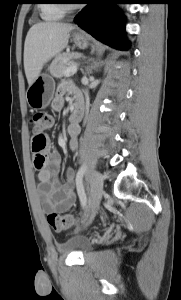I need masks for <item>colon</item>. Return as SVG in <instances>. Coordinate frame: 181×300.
Instances as JSON below:
<instances>
[{
	"instance_id": "obj_1",
	"label": "colon",
	"mask_w": 181,
	"mask_h": 300,
	"mask_svg": "<svg viewBox=\"0 0 181 300\" xmlns=\"http://www.w3.org/2000/svg\"><path fill=\"white\" fill-rule=\"evenodd\" d=\"M54 118L44 112H37L30 119L32 132V151L37 155L36 164L42 165L44 162L43 152L45 151L48 138L45 132L53 126ZM50 227L55 231H63L71 228L77 223V219L71 215L50 213L47 217Z\"/></svg>"
}]
</instances>
